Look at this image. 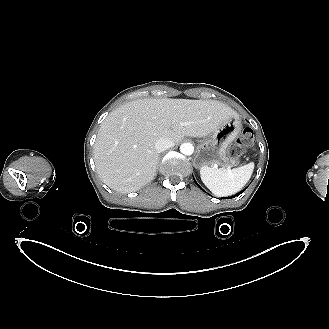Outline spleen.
<instances>
[{
  "label": "spleen",
  "instance_id": "3e777b00",
  "mask_svg": "<svg viewBox=\"0 0 329 329\" xmlns=\"http://www.w3.org/2000/svg\"><path fill=\"white\" fill-rule=\"evenodd\" d=\"M254 163L234 169H215L204 166L200 176L205 186L216 196H230L240 191L251 178Z\"/></svg>",
  "mask_w": 329,
  "mask_h": 329
}]
</instances>
